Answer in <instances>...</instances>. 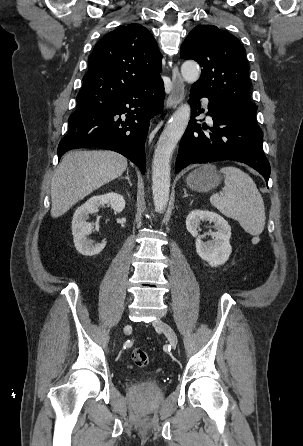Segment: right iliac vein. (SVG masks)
<instances>
[{
  "label": "right iliac vein",
  "mask_w": 303,
  "mask_h": 446,
  "mask_svg": "<svg viewBox=\"0 0 303 446\" xmlns=\"http://www.w3.org/2000/svg\"><path fill=\"white\" fill-rule=\"evenodd\" d=\"M127 329H129V325H126L124 328V330H127Z\"/></svg>",
  "instance_id": "63e3f726"
}]
</instances>
